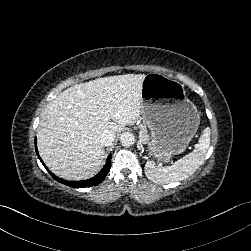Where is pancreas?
<instances>
[{
	"mask_svg": "<svg viewBox=\"0 0 251 251\" xmlns=\"http://www.w3.org/2000/svg\"><path fill=\"white\" fill-rule=\"evenodd\" d=\"M139 129H140V138L142 139V141H149L151 137L149 135L147 125L143 122H140Z\"/></svg>",
	"mask_w": 251,
	"mask_h": 251,
	"instance_id": "pancreas-1",
	"label": "pancreas"
}]
</instances>
